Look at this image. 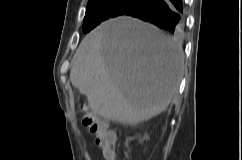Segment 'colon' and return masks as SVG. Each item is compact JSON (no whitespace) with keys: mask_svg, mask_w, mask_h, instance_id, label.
Returning a JSON list of instances; mask_svg holds the SVG:
<instances>
[{"mask_svg":"<svg viewBox=\"0 0 242 160\" xmlns=\"http://www.w3.org/2000/svg\"><path fill=\"white\" fill-rule=\"evenodd\" d=\"M83 125L95 136L96 145L107 160H113L115 135L108 129L107 123L94 113L83 109Z\"/></svg>","mask_w":242,"mask_h":160,"instance_id":"5ec220e1","label":"colon"}]
</instances>
